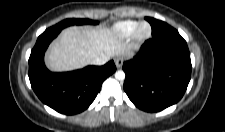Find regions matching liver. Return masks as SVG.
<instances>
[{
  "label": "liver",
  "instance_id": "liver-1",
  "mask_svg": "<svg viewBox=\"0 0 225 132\" xmlns=\"http://www.w3.org/2000/svg\"><path fill=\"white\" fill-rule=\"evenodd\" d=\"M131 54V46L108 27L72 26L64 29L51 43L45 63L51 71L64 72L82 68L96 57L108 56L110 59Z\"/></svg>",
  "mask_w": 225,
  "mask_h": 132
}]
</instances>
